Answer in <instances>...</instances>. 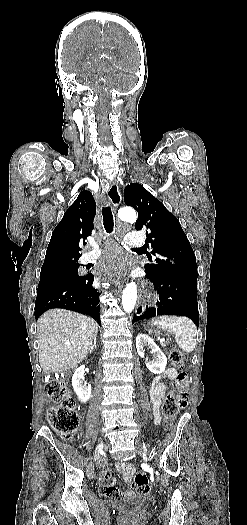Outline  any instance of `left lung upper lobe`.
<instances>
[{
	"instance_id": "1",
	"label": "left lung upper lobe",
	"mask_w": 247,
	"mask_h": 525,
	"mask_svg": "<svg viewBox=\"0 0 247 525\" xmlns=\"http://www.w3.org/2000/svg\"><path fill=\"white\" fill-rule=\"evenodd\" d=\"M124 202L138 211L136 230L149 231L147 241L153 250L145 266L147 275L197 281L195 254L179 220L138 183L126 186Z\"/></svg>"
}]
</instances>
